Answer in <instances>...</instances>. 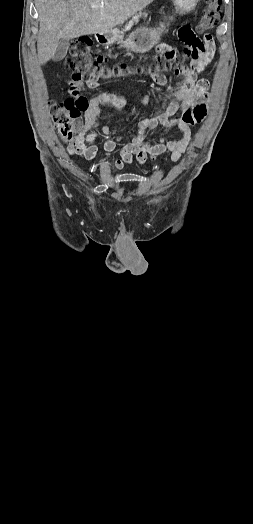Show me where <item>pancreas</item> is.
Returning a JSON list of instances; mask_svg holds the SVG:
<instances>
[{
  "label": "pancreas",
  "mask_w": 253,
  "mask_h": 524,
  "mask_svg": "<svg viewBox=\"0 0 253 524\" xmlns=\"http://www.w3.org/2000/svg\"><path fill=\"white\" fill-rule=\"evenodd\" d=\"M141 17H147V13H142V12H140L139 14L134 15V16L132 17V19H131V20H130L126 25H125L123 31L113 30V31L111 32V35H112V38H111V39H112V41H114V40H116V39H118V38H122V35H121V34H123L124 32H126V31H128V30H130L131 27H132L134 24L138 23V21H139V19H140Z\"/></svg>",
  "instance_id": "pancreas-1"
}]
</instances>
